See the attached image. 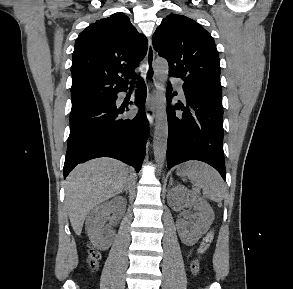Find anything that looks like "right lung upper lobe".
Instances as JSON below:
<instances>
[{"mask_svg": "<svg viewBox=\"0 0 293 289\" xmlns=\"http://www.w3.org/2000/svg\"><path fill=\"white\" fill-rule=\"evenodd\" d=\"M148 41L124 13L92 23L75 41L72 58V103L106 99L126 91L124 79L147 53Z\"/></svg>", "mask_w": 293, "mask_h": 289, "instance_id": "1", "label": "right lung upper lobe"}]
</instances>
